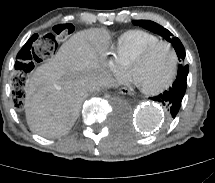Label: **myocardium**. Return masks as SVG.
<instances>
[{
	"instance_id": "f54148a6",
	"label": "myocardium",
	"mask_w": 215,
	"mask_h": 183,
	"mask_svg": "<svg viewBox=\"0 0 215 183\" xmlns=\"http://www.w3.org/2000/svg\"><path fill=\"white\" fill-rule=\"evenodd\" d=\"M159 46H166L171 51V53L173 55V60H174L173 72H172L170 78L163 85H161V86H159L157 88H153V89L143 88V87L139 86V84L137 83V80H136L135 75H134V73L132 71V68L135 65L140 64L144 60H146L148 58V56L152 53V51L154 49H156L157 47H159ZM129 68H130V75H131L133 81L139 87V89L141 91H143L144 93L149 94V95H157V94L162 93L166 89H168L174 83V81L176 80L177 75H178V71H179V57H178V54H177L175 48L168 41L160 40V41L152 43L149 46H147L146 48H144L132 60L131 65L129 66Z\"/></svg>"
}]
</instances>
